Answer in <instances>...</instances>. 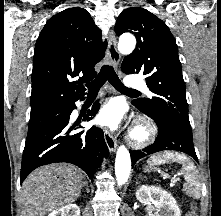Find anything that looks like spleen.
Listing matches in <instances>:
<instances>
[{"instance_id": "spleen-1", "label": "spleen", "mask_w": 221, "mask_h": 216, "mask_svg": "<svg viewBox=\"0 0 221 216\" xmlns=\"http://www.w3.org/2000/svg\"><path fill=\"white\" fill-rule=\"evenodd\" d=\"M170 161H176L182 164V173L186 181L185 192L187 195L198 199L200 197L201 184L198 179V170L194 163L185 155L174 153L171 151H165L160 154L152 155L147 163L151 166L161 165Z\"/></svg>"}]
</instances>
